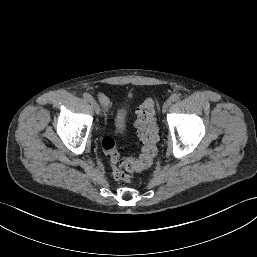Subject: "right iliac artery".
<instances>
[{
	"label": "right iliac artery",
	"mask_w": 257,
	"mask_h": 257,
	"mask_svg": "<svg viewBox=\"0 0 257 257\" xmlns=\"http://www.w3.org/2000/svg\"><path fill=\"white\" fill-rule=\"evenodd\" d=\"M83 98L89 102H91V100L93 99L92 96L88 93H84Z\"/></svg>",
	"instance_id": "1"
}]
</instances>
